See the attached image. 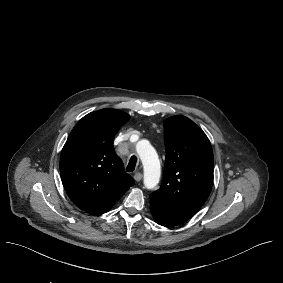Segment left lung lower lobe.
I'll return each instance as SVG.
<instances>
[{
	"mask_svg": "<svg viewBox=\"0 0 283 283\" xmlns=\"http://www.w3.org/2000/svg\"><path fill=\"white\" fill-rule=\"evenodd\" d=\"M150 210L155 221L162 226L179 225L191 218L198 209L172 204L150 195Z\"/></svg>",
	"mask_w": 283,
	"mask_h": 283,
	"instance_id": "1",
	"label": "left lung lower lobe"
}]
</instances>
